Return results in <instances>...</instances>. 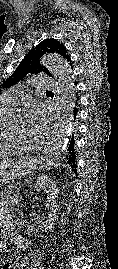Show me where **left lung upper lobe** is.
I'll return each instance as SVG.
<instances>
[{"label": "left lung upper lobe", "mask_w": 118, "mask_h": 269, "mask_svg": "<svg viewBox=\"0 0 118 269\" xmlns=\"http://www.w3.org/2000/svg\"><path fill=\"white\" fill-rule=\"evenodd\" d=\"M45 53H57L65 60L71 61L65 46L61 42L55 39H46L28 52L15 72L4 82L2 87L9 88L13 86L16 82L23 79L28 73L38 74L40 72H45L51 76L52 74L49 70L40 65L39 59Z\"/></svg>", "instance_id": "obj_1"}]
</instances>
